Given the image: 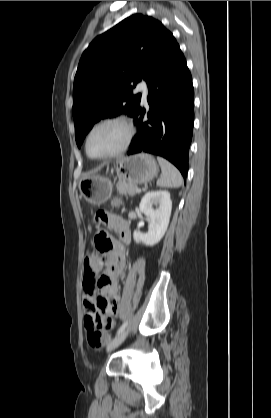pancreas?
Segmentation results:
<instances>
[{"label":"pancreas","instance_id":"pancreas-1","mask_svg":"<svg viewBox=\"0 0 271 418\" xmlns=\"http://www.w3.org/2000/svg\"><path fill=\"white\" fill-rule=\"evenodd\" d=\"M137 185L127 181H119L117 183V190L122 195L134 196L136 194Z\"/></svg>","mask_w":271,"mask_h":418}]
</instances>
